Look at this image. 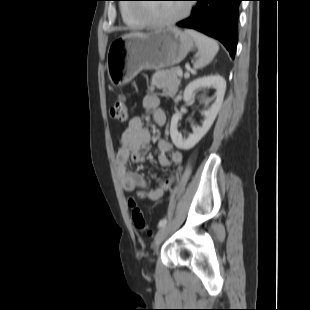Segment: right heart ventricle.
Returning a JSON list of instances; mask_svg holds the SVG:
<instances>
[{
    "mask_svg": "<svg viewBox=\"0 0 310 310\" xmlns=\"http://www.w3.org/2000/svg\"><path fill=\"white\" fill-rule=\"evenodd\" d=\"M120 13L123 22L132 29H138L146 26V23L133 14V7L130 4L123 3L120 6Z\"/></svg>",
    "mask_w": 310,
    "mask_h": 310,
    "instance_id": "right-heart-ventricle-1",
    "label": "right heart ventricle"
}]
</instances>
